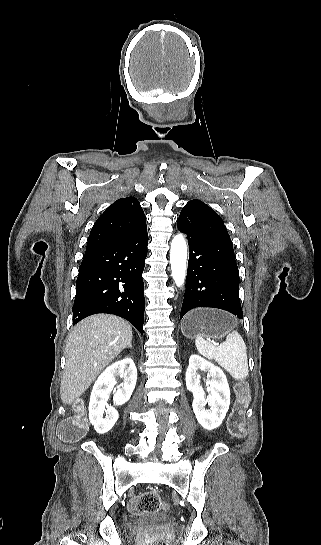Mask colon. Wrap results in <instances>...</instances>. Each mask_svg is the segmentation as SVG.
Here are the masks:
<instances>
[{
  "instance_id": "obj_1",
  "label": "colon",
  "mask_w": 321,
  "mask_h": 545,
  "mask_svg": "<svg viewBox=\"0 0 321 545\" xmlns=\"http://www.w3.org/2000/svg\"><path fill=\"white\" fill-rule=\"evenodd\" d=\"M236 399L232 412L228 418L227 427L231 436L243 438L246 435L244 415L250 398L247 385L239 383L236 385ZM88 425L84 409L81 405L75 408V414L64 420L59 427L60 438L69 443L78 442L87 433ZM163 502L158 493L144 492L133 498L129 504V510L133 514L155 513ZM144 545H167L165 540L158 537H151L144 542Z\"/></svg>"
}]
</instances>
